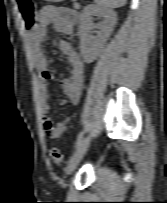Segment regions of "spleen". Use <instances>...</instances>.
<instances>
[{
  "label": "spleen",
  "mask_w": 167,
  "mask_h": 203,
  "mask_svg": "<svg viewBox=\"0 0 167 203\" xmlns=\"http://www.w3.org/2000/svg\"><path fill=\"white\" fill-rule=\"evenodd\" d=\"M103 8H118L126 3V0H95Z\"/></svg>",
  "instance_id": "spleen-1"
}]
</instances>
